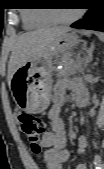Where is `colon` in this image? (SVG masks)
I'll return each instance as SVG.
<instances>
[{"mask_svg": "<svg viewBox=\"0 0 104 169\" xmlns=\"http://www.w3.org/2000/svg\"><path fill=\"white\" fill-rule=\"evenodd\" d=\"M18 123L30 150L34 154H40L42 151L40 140L45 132L44 121L32 114L22 113L18 116Z\"/></svg>", "mask_w": 104, "mask_h": 169, "instance_id": "obj_1", "label": "colon"}]
</instances>
